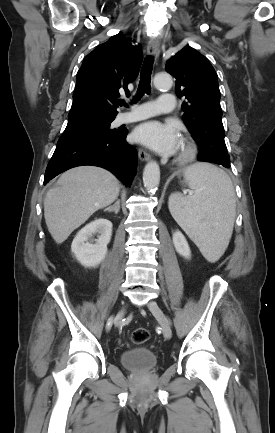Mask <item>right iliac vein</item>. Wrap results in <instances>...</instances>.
I'll return each instance as SVG.
<instances>
[{
    "label": "right iliac vein",
    "instance_id": "right-iliac-vein-1",
    "mask_svg": "<svg viewBox=\"0 0 275 433\" xmlns=\"http://www.w3.org/2000/svg\"><path fill=\"white\" fill-rule=\"evenodd\" d=\"M124 315H125V308L123 307V308L118 312V314H117V316H116V318H115V323H116V325H119V324H120V322H121L122 318L124 317Z\"/></svg>",
    "mask_w": 275,
    "mask_h": 433
}]
</instances>
